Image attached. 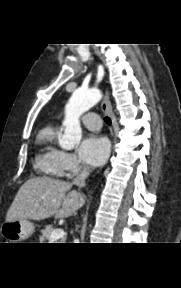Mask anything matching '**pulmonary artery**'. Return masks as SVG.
<instances>
[{
	"label": "pulmonary artery",
	"instance_id": "1",
	"mask_svg": "<svg viewBox=\"0 0 181 288\" xmlns=\"http://www.w3.org/2000/svg\"><path fill=\"white\" fill-rule=\"evenodd\" d=\"M83 125L89 130L97 131L101 127V121L98 114L89 112L83 117Z\"/></svg>",
	"mask_w": 181,
	"mask_h": 288
}]
</instances>
